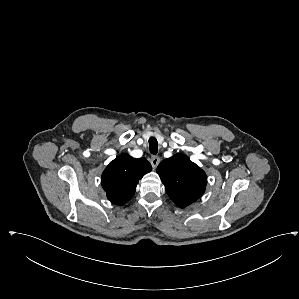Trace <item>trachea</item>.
<instances>
[{
	"mask_svg": "<svg viewBox=\"0 0 299 299\" xmlns=\"http://www.w3.org/2000/svg\"><path fill=\"white\" fill-rule=\"evenodd\" d=\"M149 149H150V153L157 154V152H158V142H157L156 138L151 137L149 139Z\"/></svg>",
	"mask_w": 299,
	"mask_h": 299,
	"instance_id": "obj_1",
	"label": "trachea"
}]
</instances>
